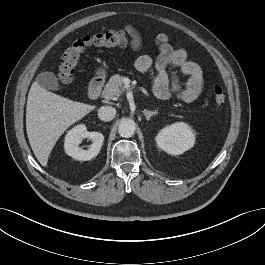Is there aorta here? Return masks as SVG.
<instances>
[{"instance_id": "1", "label": "aorta", "mask_w": 265, "mask_h": 265, "mask_svg": "<svg viewBox=\"0 0 265 265\" xmlns=\"http://www.w3.org/2000/svg\"><path fill=\"white\" fill-rule=\"evenodd\" d=\"M136 125L131 119H124L119 124L118 132L124 138L132 137L135 133Z\"/></svg>"}]
</instances>
